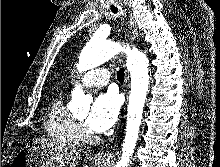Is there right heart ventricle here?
<instances>
[{"instance_id": "obj_1", "label": "right heart ventricle", "mask_w": 220, "mask_h": 167, "mask_svg": "<svg viewBox=\"0 0 220 167\" xmlns=\"http://www.w3.org/2000/svg\"><path fill=\"white\" fill-rule=\"evenodd\" d=\"M44 131L54 143L74 146L78 142L75 117L64 103L63 95L55 96L48 107Z\"/></svg>"}]
</instances>
